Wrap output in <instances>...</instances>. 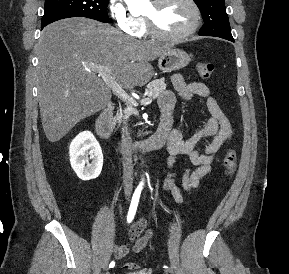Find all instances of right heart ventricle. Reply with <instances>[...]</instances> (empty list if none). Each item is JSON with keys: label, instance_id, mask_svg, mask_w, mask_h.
<instances>
[{"label": "right heart ventricle", "instance_id": "e07e8e85", "mask_svg": "<svg viewBox=\"0 0 289 274\" xmlns=\"http://www.w3.org/2000/svg\"><path fill=\"white\" fill-rule=\"evenodd\" d=\"M140 21V31L138 36H143L146 35L148 33L147 27H146V23L145 20L143 18H138Z\"/></svg>", "mask_w": 289, "mask_h": 274}]
</instances>
